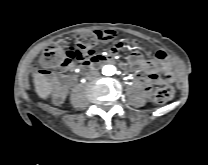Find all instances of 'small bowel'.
Masks as SVG:
<instances>
[{
    "mask_svg": "<svg viewBox=\"0 0 208 165\" xmlns=\"http://www.w3.org/2000/svg\"><path fill=\"white\" fill-rule=\"evenodd\" d=\"M105 32L112 33L113 36L116 35L115 32L111 30H106ZM126 46L127 44L124 41H118L108 54H98L83 58L80 60V65L82 67H92L96 64L110 62L114 60L112 54ZM72 67L73 64L63 68V70L67 71ZM120 67L122 70L132 72L136 75L138 83L146 94L151 93L153 84H168L174 80L173 62L164 51H157L154 59H147L139 52L133 51L129 55L127 62L121 63ZM73 82L74 78L66 79L60 83V86L65 88L70 86ZM64 97L65 91L55 98V103H62Z\"/></svg>",
    "mask_w": 208,
    "mask_h": 165,
    "instance_id": "small-bowel-1",
    "label": "small bowel"
}]
</instances>
